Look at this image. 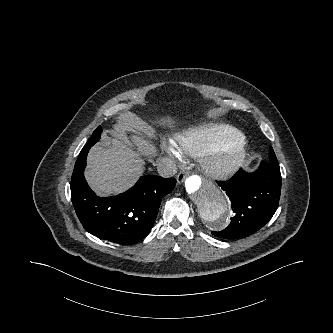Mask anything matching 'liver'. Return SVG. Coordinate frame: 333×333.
<instances>
[{"instance_id":"obj_1","label":"liver","mask_w":333,"mask_h":333,"mask_svg":"<svg viewBox=\"0 0 333 333\" xmlns=\"http://www.w3.org/2000/svg\"><path fill=\"white\" fill-rule=\"evenodd\" d=\"M141 124L145 122L138 117L121 120L113 130L103 133L101 142L91 148L85 178L98 195L122 193L143 173L144 162L135 149L149 155L154 148L146 138L150 133H145Z\"/></svg>"}]
</instances>
